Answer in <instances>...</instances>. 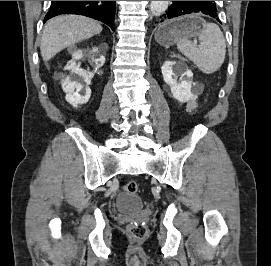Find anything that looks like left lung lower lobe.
Masks as SVG:
<instances>
[{
  "label": "left lung lower lobe",
  "mask_w": 271,
  "mask_h": 266,
  "mask_svg": "<svg viewBox=\"0 0 271 266\" xmlns=\"http://www.w3.org/2000/svg\"><path fill=\"white\" fill-rule=\"evenodd\" d=\"M193 12L204 13L221 23L215 1H172L168 11L161 17V22Z\"/></svg>",
  "instance_id": "obj_1"
}]
</instances>
